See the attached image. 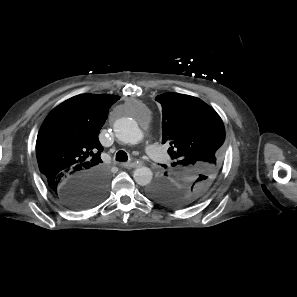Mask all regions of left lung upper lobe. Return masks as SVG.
I'll use <instances>...</instances> for the list:
<instances>
[{
  "label": "left lung upper lobe",
  "mask_w": 297,
  "mask_h": 297,
  "mask_svg": "<svg viewBox=\"0 0 297 297\" xmlns=\"http://www.w3.org/2000/svg\"><path fill=\"white\" fill-rule=\"evenodd\" d=\"M155 100L162 106V143L170 146L174 161L147 193L164 204L184 207L199 199L222 169L224 124L196 97L164 93Z\"/></svg>",
  "instance_id": "obj_1"
}]
</instances>
